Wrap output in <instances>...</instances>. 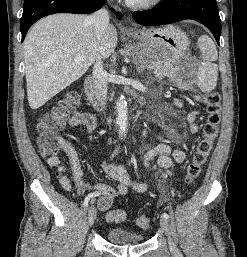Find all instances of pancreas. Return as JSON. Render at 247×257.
I'll list each match as a JSON object with an SVG mask.
<instances>
[{"label": "pancreas", "instance_id": "cf45deb5", "mask_svg": "<svg viewBox=\"0 0 247 257\" xmlns=\"http://www.w3.org/2000/svg\"><path fill=\"white\" fill-rule=\"evenodd\" d=\"M154 75L156 79L161 80L164 77H169L173 73V66L169 63H155L153 65Z\"/></svg>", "mask_w": 247, "mask_h": 257}]
</instances>
